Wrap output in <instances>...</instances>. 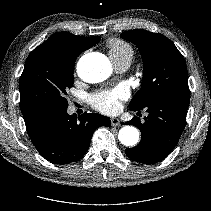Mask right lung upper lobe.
<instances>
[{
  "instance_id": "1",
  "label": "right lung upper lobe",
  "mask_w": 211,
  "mask_h": 211,
  "mask_svg": "<svg viewBox=\"0 0 211 211\" xmlns=\"http://www.w3.org/2000/svg\"><path fill=\"white\" fill-rule=\"evenodd\" d=\"M100 41V37H83L71 33L59 32L53 34L38 49L48 50L54 58L68 63H75L77 56ZM33 118L24 117L28 122Z\"/></svg>"
}]
</instances>
